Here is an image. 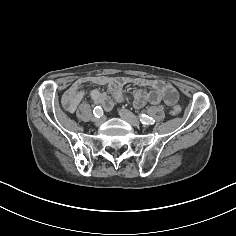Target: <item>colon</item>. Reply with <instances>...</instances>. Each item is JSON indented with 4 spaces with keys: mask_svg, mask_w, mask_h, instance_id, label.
I'll list each match as a JSON object with an SVG mask.
<instances>
[{
    "mask_svg": "<svg viewBox=\"0 0 236 236\" xmlns=\"http://www.w3.org/2000/svg\"><path fill=\"white\" fill-rule=\"evenodd\" d=\"M180 107L179 106H173L171 109H170V114L171 115H174V116H177L180 114Z\"/></svg>",
    "mask_w": 236,
    "mask_h": 236,
    "instance_id": "1",
    "label": "colon"
}]
</instances>
